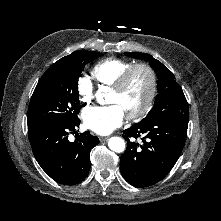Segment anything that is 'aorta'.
<instances>
[{"mask_svg":"<svg viewBox=\"0 0 221 221\" xmlns=\"http://www.w3.org/2000/svg\"><path fill=\"white\" fill-rule=\"evenodd\" d=\"M103 90H99L96 94L97 100L102 103L103 101ZM108 146L109 148L116 152V153H121L125 150V142L122 138L120 137H111L108 141Z\"/></svg>","mask_w":221,"mask_h":221,"instance_id":"obj_1","label":"aorta"}]
</instances>
